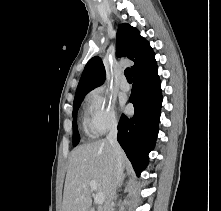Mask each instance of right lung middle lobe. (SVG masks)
Listing matches in <instances>:
<instances>
[{"label": "right lung middle lobe", "instance_id": "dd1d6c3e", "mask_svg": "<svg viewBox=\"0 0 221 211\" xmlns=\"http://www.w3.org/2000/svg\"><path fill=\"white\" fill-rule=\"evenodd\" d=\"M83 98H84V96L74 98V104H73V146H76L80 141V136H79L76 120H77V111H78V108H79Z\"/></svg>", "mask_w": 221, "mask_h": 211}]
</instances>
